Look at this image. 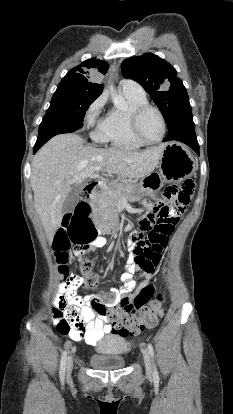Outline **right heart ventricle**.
<instances>
[{"mask_svg": "<svg viewBox=\"0 0 233 414\" xmlns=\"http://www.w3.org/2000/svg\"><path fill=\"white\" fill-rule=\"evenodd\" d=\"M127 100L124 108L114 107L101 123L100 129L104 142L111 147L123 150H138L145 146L132 133L130 128V112L144 104H148L145 94H135L123 91Z\"/></svg>", "mask_w": 233, "mask_h": 414, "instance_id": "1", "label": "right heart ventricle"}]
</instances>
